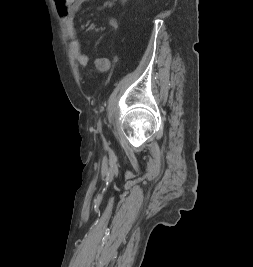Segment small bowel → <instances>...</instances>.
Segmentation results:
<instances>
[{
  "mask_svg": "<svg viewBox=\"0 0 253 267\" xmlns=\"http://www.w3.org/2000/svg\"><path fill=\"white\" fill-rule=\"evenodd\" d=\"M61 0H55L57 11L61 17L67 32V36L70 42V50L74 58L78 63L85 67L88 63V57L82 52L80 42L77 38V32L75 29V15L80 9L81 5L86 0H71L69 3H62ZM115 1H124V0H107L98 10H103L110 8L114 5ZM110 25L114 28H118V21L116 18L110 20Z\"/></svg>",
  "mask_w": 253,
  "mask_h": 267,
  "instance_id": "small-bowel-1",
  "label": "small bowel"
}]
</instances>
